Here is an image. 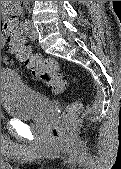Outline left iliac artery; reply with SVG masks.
Listing matches in <instances>:
<instances>
[{
	"label": "left iliac artery",
	"mask_w": 121,
	"mask_h": 169,
	"mask_svg": "<svg viewBox=\"0 0 121 169\" xmlns=\"http://www.w3.org/2000/svg\"><path fill=\"white\" fill-rule=\"evenodd\" d=\"M29 20L25 19L21 23L22 31L26 32L28 30Z\"/></svg>",
	"instance_id": "44dca946"
}]
</instances>
